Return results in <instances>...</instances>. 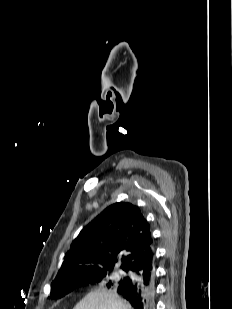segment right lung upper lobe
<instances>
[{
    "label": "right lung upper lobe",
    "instance_id": "cb5924a9",
    "mask_svg": "<svg viewBox=\"0 0 232 309\" xmlns=\"http://www.w3.org/2000/svg\"><path fill=\"white\" fill-rule=\"evenodd\" d=\"M144 257H154L149 223L137 206L115 203L81 230L51 286L116 265L126 271Z\"/></svg>",
    "mask_w": 232,
    "mask_h": 309
}]
</instances>
